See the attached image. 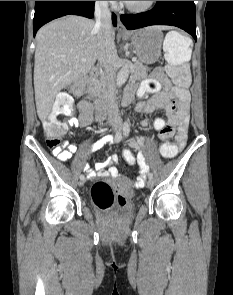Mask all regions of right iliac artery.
<instances>
[{
	"label": "right iliac artery",
	"instance_id": "right-iliac-artery-1",
	"mask_svg": "<svg viewBox=\"0 0 233 295\" xmlns=\"http://www.w3.org/2000/svg\"><path fill=\"white\" fill-rule=\"evenodd\" d=\"M121 139H122V133L120 131H117L116 134H115V136H114V142L115 143H118V142L121 141ZM83 178H84V175L81 174L80 175V179H83Z\"/></svg>",
	"mask_w": 233,
	"mask_h": 295
}]
</instances>
